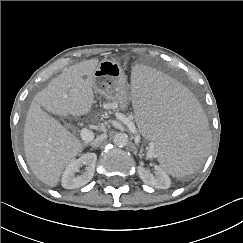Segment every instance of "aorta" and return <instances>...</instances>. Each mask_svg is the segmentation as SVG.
I'll use <instances>...</instances> for the list:
<instances>
[{"label": "aorta", "instance_id": "obj_1", "mask_svg": "<svg viewBox=\"0 0 243 243\" xmlns=\"http://www.w3.org/2000/svg\"><path fill=\"white\" fill-rule=\"evenodd\" d=\"M128 141H129L128 135L124 132L116 133L113 138L114 144L118 147L126 146L128 144Z\"/></svg>", "mask_w": 243, "mask_h": 243}]
</instances>
